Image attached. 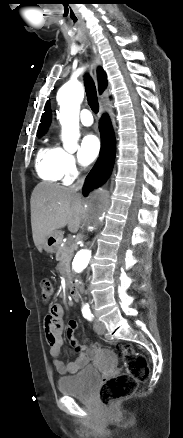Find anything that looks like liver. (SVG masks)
Here are the masks:
<instances>
[{"instance_id":"obj_1","label":"liver","mask_w":183,"mask_h":438,"mask_svg":"<svg viewBox=\"0 0 183 438\" xmlns=\"http://www.w3.org/2000/svg\"><path fill=\"white\" fill-rule=\"evenodd\" d=\"M30 203L33 241L38 250L50 234L65 226L72 233L78 231L84 201L71 188L39 183L32 192Z\"/></svg>"}]
</instances>
